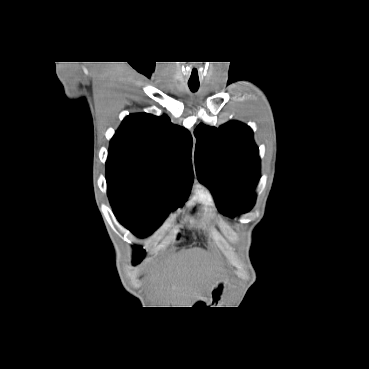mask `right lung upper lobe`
Wrapping results in <instances>:
<instances>
[{"instance_id":"right-lung-upper-lobe-1","label":"right lung upper lobe","mask_w":369,"mask_h":369,"mask_svg":"<svg viewBox=\"0 0 369 369\" xmlns=\"http://www.w3.org/2000/svg\"><path fill=\"white\" fill-rule=\"evenodd\" d=\"M191 148L189 131L166 115L130 114L110 141L106 176L129 179L179 203L187 199L193 183Z\"/></svg>"}]
</instances>
